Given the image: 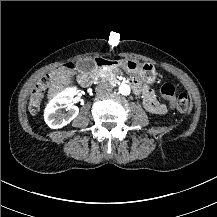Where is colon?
I'll use <instances>...</instances> for the list:
<instances>
[{"instance_id": "5ec220e1", "label": "colon", "mask_w": 217, "mask_h": 217, "mask_svg": "<svg viewBox=\"0 0 217 217\" xmlns=\"http://www.w3.org/2000/svg\"><path fill=\"white\" fill-rule=\"evenodd\" d=\"M51 85V79L48 76L41 77L39 81L40 87H35L29 95L28 110L35 115L40 110V101L42 97V89H47ZM161 93L163 96L173 99V107L181 114L186 113L190 108V98L186 93L176 94V87L172 83H164L161 86Z\"/></svg>"}]
</instances>
